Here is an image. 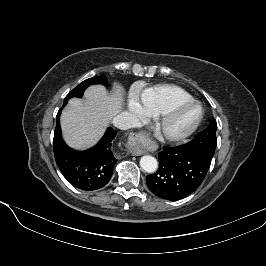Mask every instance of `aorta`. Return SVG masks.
<instances>
[{"mask_svg": "<svg viewBox=\"0 0 266 266\" xmlns=\"http://www.w3.org/2000/svg\"><path fill=\"white\" fill-rule=\"evenodd\" d=\"M141 168L147 173H153L158 168V162L155 157L145 155L140 159Z\"/></svg>", "mask_w": 266, "mask_h": 266, "instance_id": "aorta-1", "label": "aorta"}]
</instances>
